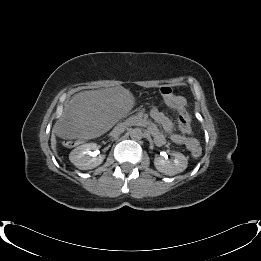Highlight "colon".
<instances>
[{
	"label": "colon",
	"instance_id": "5ec220e1",
	"mask_svg": "<svg viewBox=\"0 0 261 261\" xmlns=\"http://www.w3.org/2000/svg\"><path fill=\"white\" fill-rule=\"evenodd\" d=\"M160 94L162 97H164L165 102L174 109L173 114L175 117H177L178 126L181 133L186 137L191 136L193 133L191 128L192 121L190 119L189 113L186 110L185 101L176 95H170L171 91L167 87L162 88ZM64 144L66 146H70L71 142H65ZM186 148L193 157H198L201 154L199 143L191 142L186 146Z\"/></svg>",
	"mask_w": 261,
	"mask_h": 261
}]
</instances>
